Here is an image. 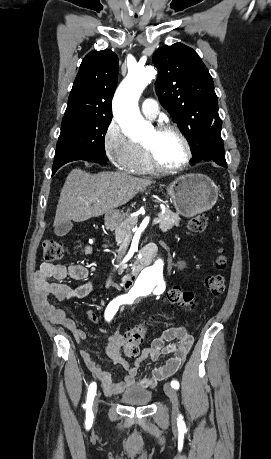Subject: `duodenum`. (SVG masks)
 Wrapping results in <instances>:
<instances>
[{
    "mask_svg": "<svg viewBox=\"0 0 271 459\" xmlns=\"http://www.w3.org/2000/svg\"><path fill=\"white\" fill-rule=\"evenodd\" d=\"M115 224V220L113 218H109V225L110 226H114ZM147 264V257L146 255H143L141 258H139L133 268H132V271L130 273H128L127 275L124 276L123 278V281L125 283H129L131 284V281L133 279V277Z\"/></svg>",
    "mask_w": 271,
    "mask_h": 459,
    "instance_id": "duodenum-1",
    "label": "duodenum"
}]
</instances>
